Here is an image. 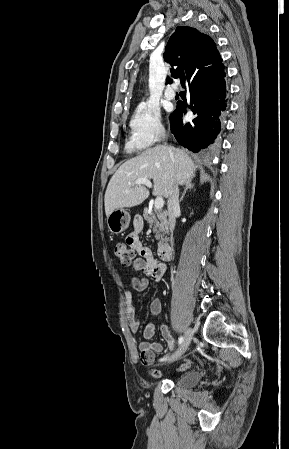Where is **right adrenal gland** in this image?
<instances>
[{
  "label": "right adrenal gland",
  "instance_id": "right-adrenal-gland-1",
  "mask_svg": "<svg viewBox=\"0 0 289 449\" xmlns=\"http://www.w3.org/2000/svg\"><path fill=\"white\" fill-rule=\"evenodd\" d=\"M193 188H194V184L192 183V181H190V180H189V181H186V183H185V189H184V192L182 193V196H181L179 202H182V200H183V198H184L186 192H187L189 189H193Z\"/></svg>",
  "mask_w": 289,
  "mask_h": 449
}]
</instances>
